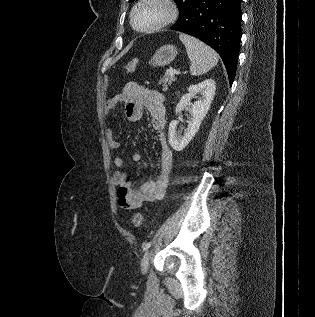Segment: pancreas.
Listing matches in <instances>:
<instances>
[{
	"label": "pancreas",
	"instance_id": "1",
	"mask_svg": "<svg viewBox=\"0 0 315 317\" xmlns=\"http://www.w3.org/2000/svg\"><path fill=\"white\" fill-rule=\"evenodd\" d=\"M175 81V78L170 75L169 71H167L162 79H160V83L163 84V90L167 91L168 86Z\"/></svg>",
	"mask_w": 315,
	"mask_h": 317
}]
</instances>
